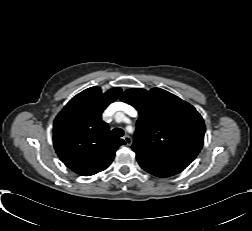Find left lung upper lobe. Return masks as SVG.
Segmentation results:
<instances>
[{
  "label": "left lung upper lobe",
  "instance_id": "5c2ea615",
  "mask_svg": "<svg viewBox=\"0 0 252 231\" xmlns=\"http://www.w3.org/2000/svg\"><path fill=\"white\" fill-rule=\"evenodd\" d=\"M120 99L139 113L132 145L136 155L195 159L203 146L205 124L192 105L159 88L129 89Z\"/></svg>",
  "mask_w": 252,
  "mask_h": 231
}]
</instances>
